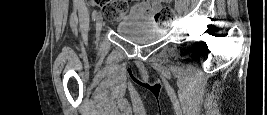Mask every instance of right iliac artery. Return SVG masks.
<instances>
[{
    "label": "right iliac artery",
    "instance_id": "82829eb1",
    "mask_svg": "<svg viewBox=\"0 0 267 115\" xmlns=\"http://www.w3.org/2000/svg\"><path fill=\"white\" fill-rule=\"evenodd\" d=\"M96 16H97V10H94L92 12V18H93L94 21H95Z\"/></svg>",
    "mask_w": 267,
    "mask_h": 115
}]
</instances>
